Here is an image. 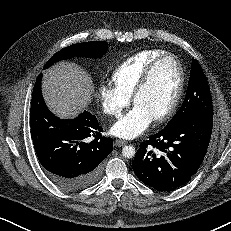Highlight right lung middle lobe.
<instances>
[{"label":"right lung middle lobe","mask_w":231,"mask_h":231,"mask_svg":"<svg viewBox=\"0 0 231 231\" xmlns=\"http://www.w3.org/2000/svg\"><path fill=\"white\" fill-rule=\"evenodd\" d=\"M106 52L107 43L105 41H92L74 44L53 55L45 64L44 69L60 60L69 59L74 56L97 58L103 56Z\"/></svg>","instance_id":"dd1d6c3e"}]
</instances>
